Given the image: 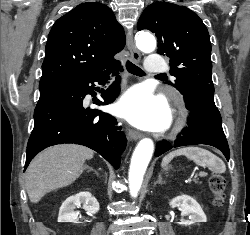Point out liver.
<instances>
[{"label":"liver","mask_w":250,"mask_h":235,"mask_svg":"<svg viewBox=\"0 0 250 235\" xmlns=\"http://www.w3.org/2000/svg\"><path fill=\"white\" fill-rule=\"evenodd\" d=\"M94 152L84 146L61 144L45 149L30 163L25 187L32 203L55 189L73 183L83 172L84 163Z\"/></svg>","instance_id":"1"}]
</instances>
